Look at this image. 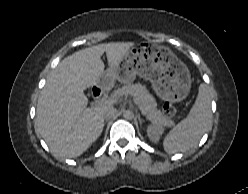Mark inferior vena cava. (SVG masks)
Listing matches in <instances>:
<instances>
[{
  "instance_id": "602c4592",
  "label": "inferior vena cava",
  "mask_w": 248,
  "mask_h": 194,
  "mask_svg": "<svg viewBox=\"0 0 248 194\" xmlns=\"http://www.w3.org/2000/svg\"><path fill=\"white\" fill-rule=\"evenodd\" d=\"M117 110L115 107L113 106H107L105 109H104V112H103V116L105 119L109 120L111 119L112 117L115 116Z\"/></svg>"
}]
</instances>
